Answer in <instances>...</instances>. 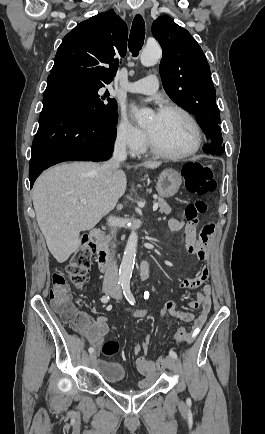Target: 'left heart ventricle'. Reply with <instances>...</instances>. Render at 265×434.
<instances>
[{
	"mask_svg": "<svg viewBox=\"0 0 265 434\" xmlns=\"http://www.w3.org/2000/svg\"><path fill=\"white\" fill-rule=\"evenodd\" d=\"M151 141L168 153L189 149L194 141V131L189 120L177 111L152 116L147 121Z\"/></svg>",
	"mask_w": 265,
	"mask_h": 434,
	"instance_id": "obj_1",
	"label": "left heart ventricle"
}]
</instances>
